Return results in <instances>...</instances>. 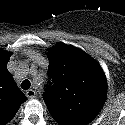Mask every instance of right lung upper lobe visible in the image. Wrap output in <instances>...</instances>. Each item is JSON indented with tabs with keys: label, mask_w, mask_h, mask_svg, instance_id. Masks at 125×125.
I'll return each mask as SVG.
<instances>
[{
	"label": "right lung upper lobe",
	"mask_w": 125,
	"mask_h": 125,
	"mask_svg": "<svg viewBox=\"0 0 125 125\" xmlns=\"http://www.w3.org/2000/svg\"><path fill=\"white\" fill-rule=\"evenodd\" d=\"M10 54L0 50V125L8 123L26 101V96L13 82L7 70Z\"/></svg>",
	"instance_id": "cb5924a9"
}]
</instances>
